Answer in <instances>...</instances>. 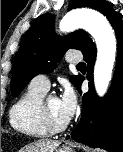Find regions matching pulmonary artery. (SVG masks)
<instances>
[{"mask_svg":"<svg viewBox=\"0 0 123 152\" xmlns=\"http://www.w3.org/2000/svg\"><path fill=\"white\" fill-rule=\"evenodd\" d=\"M66 60L73 64L79 63L82 61V56L79 53H69ZM30 85L43 91H47L50 86V81L47 75L39 74L32 79Z\"/></svg>","mask_w":123,"mask_h":152,"instance_id":"pulmonary-artery-1","label":"pulmonary artery"}]
</instances>
